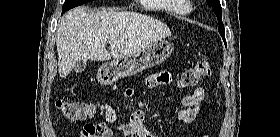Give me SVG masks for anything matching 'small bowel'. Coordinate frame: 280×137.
Here are the masks:
<instances>
[{
  "mask_svg": "<svg viewBox=\"0 0 280 137\" xmlns=\"http://www.w3.org/2000/svg\"><path fill=\"white\" fill-rule=\"evenodd\" d=\"M172 81L168 72H157L146 78V85L150 88L164 86ZM130 93V92H129ZM206 91L203 87H197L194 91L181 99V109L176 114V120L181 123L194 122L205 101ZM145 112L138 108L130 116V121L117 125L116 130L127 137H157L144 125ZM117 122L116 112L109 106L105 108V121L99 123L88 122L84 125L80 137H114L115 130L112 128Z\"/></svg>",
  "mask_w": 280,
  "mask_h": 137,
  "instance_id": "1",
  "label": "small bowel"
}]
</instances>
